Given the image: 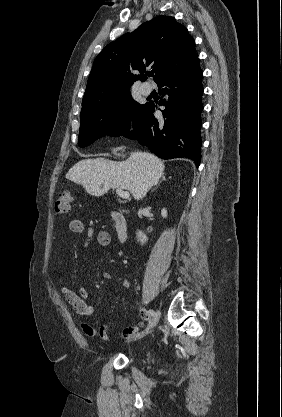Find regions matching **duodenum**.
Instances as JSON below:
<instances>
[{
  "mask_svg": "<svg viewBox=\"0 0 282 417\" xmlns=\"http://www.w3.org/2000/svg\"><path fill=\"white\" fill-rule=\"evenodd\" d=\"M111 217L114 222L118 239L121 242H125L128 237V223L126 216L120 212H112Z\"/></svg>",
  "mask_w": 282,
  "mask_h": 417,
  "instance_id": "410a0bca",
  "label": "duodenum"
}]
</instances>
